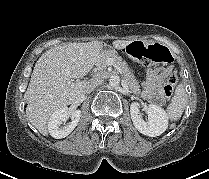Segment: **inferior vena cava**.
<instances>
[{
    "mask_svg": "<svg viewBox=\"0 0 209 179\" xmlns=\"http://www.w3.org/2000/svg\"><path fill=\"white\" fill-rule=\"evenodd\" d=\"M103 80L94 78L88 81L87 86L85 88V94L91 93L94 88H96L98 85L102 84Z\"/></svg>",
    "mask_w": 209,
    "mask_h": 179,
    "instance_id": "inferior-vena-cava-1",
    "label": "inferior vena cava"
}]
</instances>
